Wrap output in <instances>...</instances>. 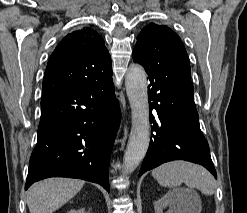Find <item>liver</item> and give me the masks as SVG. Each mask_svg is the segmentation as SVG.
<instances>
[{
	"label": "liver",
	"mask_w": 247,
	"mask_h": 213,
	"mask_svg": "<svg viewBox=\"0 0 247 213\" xmlns=\"http://www.w3.org/2000/svg\"><path fill=\"white\" fill-rule=\"evenodd\" d=\"M84 183L78 179L49 178L33 185L27 193L30 213H53L73 198Z\"/></svg>",
	"instance_id": "obj_1"
}]
</instances>
